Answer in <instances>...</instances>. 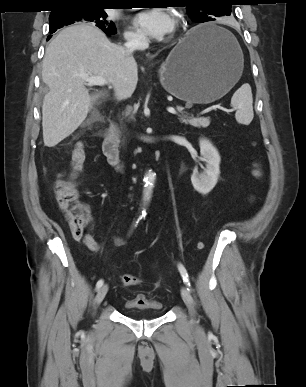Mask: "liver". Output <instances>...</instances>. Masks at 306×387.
I'll return each instance as SVG.
<instances>
[{
  "label": "liver",
  "instance_id": "liver-1",
  "mask_svg": "<svg viewBox=\"0 0 306 387\" xmlns=\"http://www.w3.org/2000/svg\"><path fill=\"white\" fill-rule=\"evenodd\" d=\"M102 77L118 91L134 92L137 63L125 47L111 43L97 27L80 23L52 39L42 62V80L49 87L42 106L43 141L54 147L70 136L104 94L90 95L87 77Z\"/></svg>",
  "mask_w": 306,
  "mask_h": 387
}]
</instances>
